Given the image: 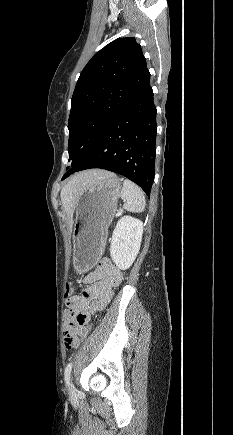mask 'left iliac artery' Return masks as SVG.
Returning a JSON list of instances; mask_svg holds the SVG:
<instances>
[{"label": "left iliac artery", "mask_w": 233, "mask_h": 435, "mask_svg": "<svg viewBox=\"0 0 233 435\" xmlns=\"http://www.w3.org/2000/svg\"><path fill=\"white\" fill-rule=\"evenodd\" d=\"M71 369H72V362H70L66 366L65 371H64V380H65L66 385H69Z\"/></svg>", "instance_id": "44dca946"}]
</instances>
